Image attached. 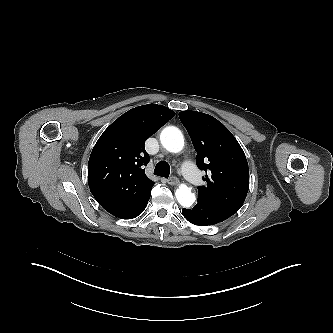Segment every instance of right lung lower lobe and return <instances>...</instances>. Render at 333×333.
I'll use <instances>...</instances> for the list:
<instances>
[{"label":"right lung lower lobe","mask_w":333,"mask_h":333,"mask_svg":"<svg viewBox=\"0 0 333 333\" xmlns=\"http://www.w3.org/2000/svg\"><path fill=\"white\" fill-rule=\"evenodd\" d=\"M150 194H148L146 197H144L140 202L139 204H137L124 218L122 219H131V218H135L137 217L138 215H140L143 210L145 209L147 203H148V200L150 198Z\"/></svg>","instance_id":"obj_1"}]
</instances>
